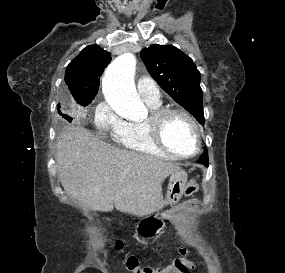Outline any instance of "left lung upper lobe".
I'll list each match as a JSON object with an SVG mask.
<instances>
[{"mask_svg": "<svg viewBox=\"0 0 285 273\" xmlns=\"http://www.w3.org/2000/svg\"><path fill=\"white\" fill-rule=\"evenodd\" d=\"M141 59L160 87L204 124L200 72L193 61L173 45H152Z\"/></svg>", "mask_w": 285, "mask_h": 273, "instance_id": "left-lung-upper-lobe-1", "label": "left lung upper lobe"}]
</instances>
